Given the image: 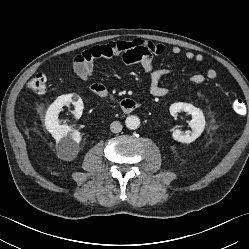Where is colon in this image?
Segmentation results:
<instances>
[{
    "label": "colon",
    "instance_id": "obj_1",
    "mask_svg": "<svg viewBox=\"0 0 249 249\" xmlns=\"http://www.w3.org/2000/svg\"><path fill=\"white\" fill-rule=\"evenodd\" d=\"M27 89L36 94H42L47 89V75L45 73H37L27 82ZM232 109L236 114H243L246 106L243 100L234 99Z\"/></svg>",
    "mask_w": 249,
    "mask_h": 249
}]
</instances>
